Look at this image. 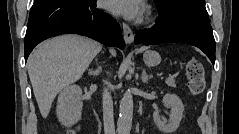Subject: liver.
<instances>
[{"instance_id": "6515ba94", "label": "liver", "mask_w": 239, "mask_h": 134, "mask_svg": "<svg viewBox=\"0 0 239 134\" xmlns=\"http://www.w3.org/2000/svg\"><path fill=\"white\" fill-rule=\"evenodd\" d=\"M102 45L77 35H62L40 44L27 61L28 75L41 115L46 118L56 95L79 80ZM116 56V51L111 50Z\"/></svg>"}]
</instances>
